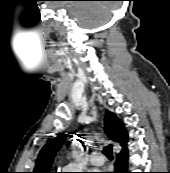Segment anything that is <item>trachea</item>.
<instances>
[{
  "label": "trachea",
  "mask_w": 170,
  "mask_h": 173,
  "mask_svg": "<svg viewBox=\"0 0 170 173\" xmlns=\"http://www.w3.org/2000/svg\"><path fill=\"white\" fill-rule=\"evenodd\" d=\"M103 154L110 160L113 159V154H112V146H107L103 150Z\"/></svg>",
  "instance_id": "3493384b"
}]
</instances>
